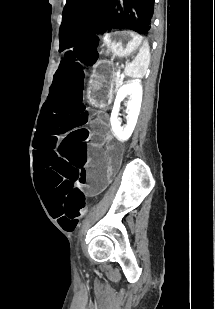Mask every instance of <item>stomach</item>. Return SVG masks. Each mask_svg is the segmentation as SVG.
<instances>
[{"label":"stomach","instance_id":"obj_1","mask_svg":"<svg viewBox=\"0 0 215 309\" xmlns=\"http://www.w3.org/2000/svg\"><path fill=\"white\" fill-rule=\"evenodd\" d=\"M143 37L130 30H115L102 37L105 53L112 58H126L142 47ZM116 67L113 61L101 60L96 63L88 81V92L97 101L106 100L115 82Z\"/></svg>","mask_w":215,"mask_h":309}]
</instances>
